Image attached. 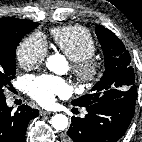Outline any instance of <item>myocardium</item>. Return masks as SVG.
<instances>
[{
	"label": "myocardium",
	"instance_id": "f54148a6",
	"mask_svg": "<svg viewBox=\"0 0 142 142\" xmlns=\"http://www.w3.org/2000/svg\"><path fill=\"white\" fill-rule=\"evenodd\" d=\"M72 72L78 83L91 86L98 81L102 73V63L95 57L72 62Z\"/></svg>",
	"mask_w": 142,
	"mask_h": 142
}]
</instances>
